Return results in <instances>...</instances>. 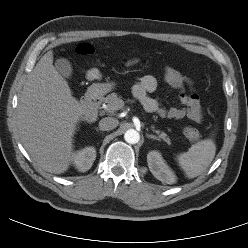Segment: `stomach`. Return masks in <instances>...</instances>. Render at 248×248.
<instances>
[{
    "label": "stomach",
    "instance_id": "obj_1",
    "mask_svg": "<svg viewBox=\"0 0 248 248\" xmlns=\"http://www.w3.org/2000/svg\"><path fill=\"white\" fill-rule=\"evenodd\" d=\"M138 62H139L138 59H132V60L127 61L126 66H127V67L134 66V65H136ZM103 88H104L105 90H111V89L114 88V84H113V83H106V84L103 85Z\"/></svg>",
    "mask_w": 248,
    "mask_h": 248
}]
</instances>
